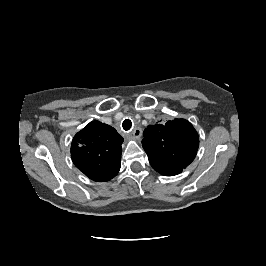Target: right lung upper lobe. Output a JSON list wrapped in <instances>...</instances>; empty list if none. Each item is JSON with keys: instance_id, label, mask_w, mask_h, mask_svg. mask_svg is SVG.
Segmentation results:
<instances>
[{"instance_id": "1", "label": "right lung upper lobe", "mask_w": 266, "mask_h": 266, "mask_svg": "<svg viewBox=\"0 0 266 266\" xmlns=\"http://www.w3.org/2000/svg\"><path fill=\"white\" fill-rule=\"evenodd\" d=\"M122 143L123 138L115 128L95 120L74 136L71 158L88 178L106 182L120 170Z\"/></svg>"}]
</instances>
